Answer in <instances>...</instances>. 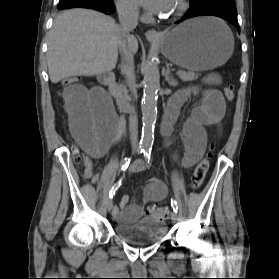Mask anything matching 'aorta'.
<instances>
[{"mask_svg":"<svg viewBox=\"0 0 279 279\" xmlns=\"http://www.w3.org/2000/svg\"><path fill=\"white\" fill-rule=\"evenodd\" d=\"M160 87L158 65L149 63L144 69V93L141 103L142 110V146H150L153 142L154 124L157 115V99Z\"/></svg>","mask_w":279,"mask_h":279,"instance_id":"1","label":"aorta"}]
</instances>
